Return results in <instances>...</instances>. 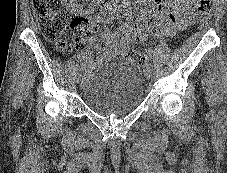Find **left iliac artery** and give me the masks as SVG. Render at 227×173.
<instances>
[{"label":"left iliac artery","mask_w":227,"mask_h":173,"mask_svg":"<svg viewBox=\"0 0 227 173\" xmlns=\"http://www.w3.org/2000/svg\"><path fill=\"white\" fill-rule=\"evenodd\" d=\"M145 67H148V68H150V69H152V64L151 63H147L146 65H145Z\"/></svg>","instance_id":"1"}]
</instances>
